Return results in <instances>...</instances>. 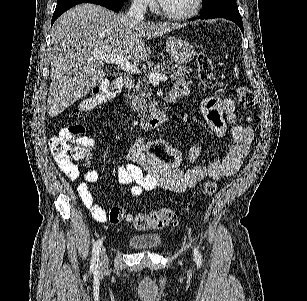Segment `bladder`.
Listing matches in <instances>:
<instances>
[{"instance_id": "bladder-1", "label": "bladder", "mask_w": 307, "mask_h": 301, "mask_svg": "<svg viewBox=\"0 0 307 301\" xmlns=\"http://www.w3.org/2000/svg\"><path fill=\"white\" fill-rule=\"evenodd\" d=\"M128 244L135 251L155 250L161 246V235H131Z\"/></svg>"}]
</instances>
